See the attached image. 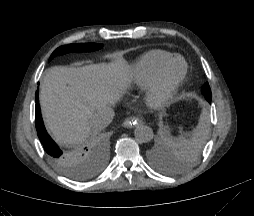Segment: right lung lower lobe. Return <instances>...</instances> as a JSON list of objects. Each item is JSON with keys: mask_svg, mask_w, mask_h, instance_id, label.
Returning a JSON list of instances; mask_svg holds the SVG:
<instances>
[{"mask_svg": "<svg viewBox=\"0 0 254 216\" xmlns=\"http://www.w3.org/2000/svg\"><path fill=\"white\" fill-rule=\"evenodd\" d=\"M35 98H36L35 124H36L37 135H38L41 143L43 144L45 151L49 155V157L53 161L60 160V159L64 158L68 153L62 152V150L58 147V145L48 135V133L44 127L42 116H41V111H40V105L38 102V90L36 91ZM83 158L88 160L89 153L84 152Z\"/></svg>", "mask_w": 254, "mask_h": 216, "instance_id": "right-lung-lower-lobe-1", "label": "right lung lower lobe"}]
</instances>
